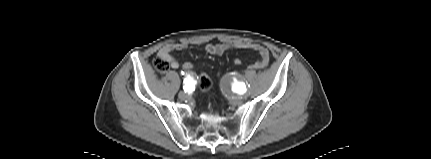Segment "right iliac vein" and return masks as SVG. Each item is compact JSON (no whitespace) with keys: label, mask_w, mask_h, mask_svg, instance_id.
Masks as SVG:
<instances>
[{"label":"right iliac vein","mask_w":431,"mask_h":159,"mask_svg":"<svg viewBox=\"0 0 431 159\" xmlns=\"http://www.w3.org/2000/svg\"><path fill=\"white\" fill-rule=\"evenodd\" d=\"M178 97H179L181 100H185V99H187V98H188V93H187V92H185V91H181V92L178 94Z\"/></svg>","instance_id":"obj_1"}]
</instances>
